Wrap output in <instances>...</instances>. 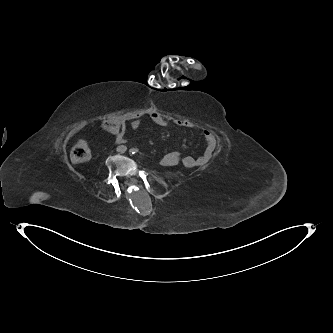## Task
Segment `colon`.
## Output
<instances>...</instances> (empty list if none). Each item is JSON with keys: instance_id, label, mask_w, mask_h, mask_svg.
Masks as SVG:
<instances>
[{"instance_id": "5ec220e1", "label": "colon", "mask_w": 333, "mask_h": 333, "mask_svg": "<svg viewBox=\"0 0 333 333\" xmlns=\"http://www.w3.org/2000/svg\"><path fill=\"white\" fill-rule=\"evenodd\" d=\"M70 157L73 163H84L90 160L91 150L85 142L80 141L72 148ZM179 157V152L173 150L166 155L161 156L160 161L161 163L166 164L168 161L179 159Z\"/></svg>"}]
</instances>
